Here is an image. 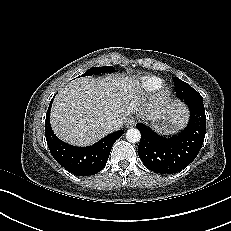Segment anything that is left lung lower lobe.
Masks as SVG:
<instances>
[{
  "label": "left lung lower lobe",
  "mask_w": 231,
  "mask_h": 231,
  "mask_svg": "<svg viewBox=\"0 0 231 231\" xmlns=\"http://www.w3.org/2000/svg\"><path fill=\"white\" fill-rule=\"evenodd\" d=\"M190 109L188 126L172 138L159 136L142 123L136 124L141 133L138 155L144 165L160 174H172L187 167L198 155L206 132L203 99H186Z\"/></svg>",
  "instance_id": "0a47b994"
}]
</instances>
